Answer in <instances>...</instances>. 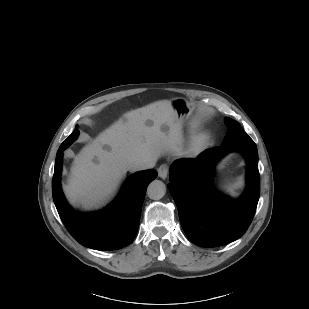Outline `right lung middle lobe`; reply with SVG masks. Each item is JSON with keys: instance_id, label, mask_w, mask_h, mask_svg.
Masks as SVG:
<instances>
[{"instance_id": "dd1d6c3e", "label": "right lung middle lobe", "mask_w": 309, "mask_h": 309, "mask_svg": "<svg viewBox=\"0 0 309 309\" xmlns=\"http://www.w3.org/2000/svg\"><path fill=\"white\" fill-rule=\"evenodd\" d=\"M79 136L78 126H76L74 132L61 144V147H68L70 144L74 142V140Z\"/></svg>"}]
</instances>
